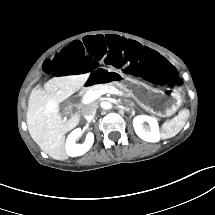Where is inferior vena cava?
<instances>
[{
	"label": "inferior vena cava",
	"mask_w": 215,
	"mask_h": 215,
	"mask_svg": "<svg viewBox=\"0 0 215 215\" xmlns=\"http://www.w3.org/2000/svg\"><path fill=\"white\" fill-rule=\"evenodd\" d=\"M97 106L95 104H88L82 108L83 117L86 120H92L96 114Z\"/></svg>",
	"instance_id": "inferior-vena-cava-1"
}]
</instances>
